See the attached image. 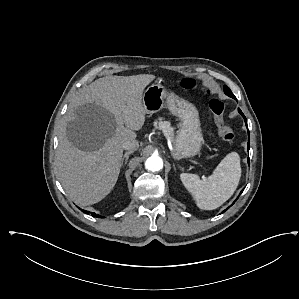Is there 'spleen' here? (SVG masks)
Returning a JSON list of instances; mask_svg holds the SVG:
<instances>
[{
	"label": "spleen",
	"instance_id": "3e777b00",
	"mask_svg": "<svg viewBox=\"0 0 299 299\" xmlns=\"http://www.w3.org/2000/svg\"><path fill=\"white\" fill-rule=\"evenodd\" d=\"M240 177V158L236 152L227 154L206 179L195 174H180L183 185L203 210H213L225 203L234 194Z\"/></svg>",
	"mask_w": 299,
	"mask_h": 299
}]
</instances>
